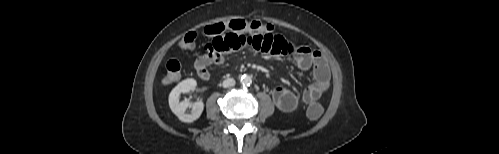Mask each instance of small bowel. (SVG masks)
I'll return each mask as SVG.
<instances>
[{
    "instance_id": "1",
    "label": "small bowel",
    "mask_w": 499,
    "mask_h": 154,
    "mask_svg": "<svg viewBox=\"0 0 499 154\" xmlns=\"http://www.w3.org/2000/svg\"><path fill=\"white\" fill-rule=\"evenodd\" d=\"M241 49H253L276 57L289 56L301 70L312 69L314 81L305 88L301 96L282 86L273 90L274 104L283 112H292L300 104L318 100L329 88L330 70L324 55L276 33L227 31L213 37L205 45V53L194 63L197 74L201 79L209 80L210 65L224 63L227 54Z\"/></svg>"
}]
</instances>
